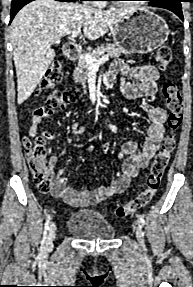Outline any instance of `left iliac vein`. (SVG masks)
I'll return each mask as SVG.
<instances>
[{
  "label": "left iliac vein",
  "mask_w": 193,
  "mask_h": 287,
  "mask_svg": "<svg viewBox=\"0 0 193 287\" xmlns=\"http://www.w3.org/2000/svg\"><path fill=\"white\" fill-rule=\"evenodd\" d=\"M136 237L140 242L142 241V228L140 224H137L136 226Z\"/></svg>",
  "instance_id": "left-iliac-vein-1"
}]
</instances>
